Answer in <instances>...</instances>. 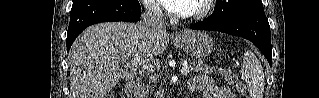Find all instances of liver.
Instances as JSON below:
<instances>
[{
	"label": "liver",
	"instance_id": "obj_1",
	"mask_svg": "<svg viewBox=\"0 0 319 98\" xmlns=\"http://www.w3.org/2000/svg\"><path fill=\"white\" fill-rule=\"evenodd\" d=\"M169 36L154 37L140 23L106 22L88 27L69 52L70 98H106L119 80L127 77L120 61L129 56L145 63L163 53Z\"/></svg>",
	"mask_w": 319,
	"mask_h": 98
}]
</instances>
